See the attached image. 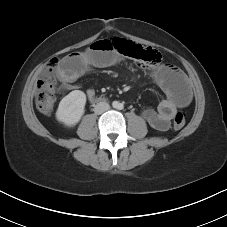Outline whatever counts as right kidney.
Segmentation results:
<instances>
[{
	"instance_id": "1",
	"label": "right kidney",
	"mask_w": 227,
	"mask_h": 227,
	"mask_svg": "<svg viewBox=\"0 0 227 227\" xmlns=\"http://www.w3.org/2000/svg\"><path fill=\"white\" fill-rule=\"evenodd\" d=\"M85 104L86 95L83 91L70 92L60 101L56 119L68 127L76 125L84 114Z\"/></svg>"
}]
</instances>
